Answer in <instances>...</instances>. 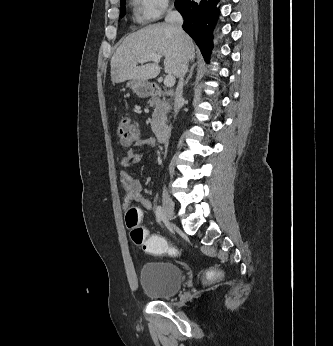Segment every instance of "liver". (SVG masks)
<instances>
[{
    "mask_svg": "<svg viewBox=\"0 0 333 346\" xmlns=\"http://www.w3.org/2000/svg\"><path fill=\"white\" fill-rule=\"evenodd\" d=\"M153 54L164 57V70L168 75L179 77L183 58L195 59V45L186 33L180 37L167 23L150 25L131 33L111 59L112 82L156 78L161 70L157 63L137 66L141 59Z\"/></svg>",
    "mask_w": 333,
    "mask_h": 346,
    "instance_id": "obj_1",
    "label": "liver"
}]
</instances>
